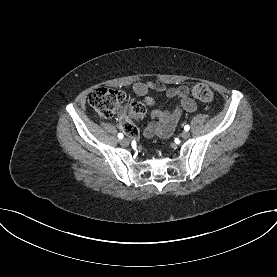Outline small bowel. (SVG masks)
<instances>
[{
	"mask_svg": "<svg viewBox=\"0 0 277 277\" xmlns=\"http://www.w3.org/2000/svg\"><path fill=\"white\" fill-rule=\"evenodd\" d=\"M131 90L138 96L143 97L145 104L154 106L156 101L149 94L150 91L162 92L169 99H178V105L173 110H154L151 112V121L144 128L143 135L147 138L159 136L161 138L169 137L178 124L183 112H195L197 110L196 102L189 97V88L187 86L166 87L161 83L154 82H135L131 85ZM140 120L141 117H133ZM130 135V134H129ZM136 134L130 135L137 137Z\"/></svg>",
	"mask_w": 277,
	"mask_h": 277,
	"instance_id": "1",
	"label": "small bowel"
}]
</instances>
